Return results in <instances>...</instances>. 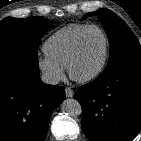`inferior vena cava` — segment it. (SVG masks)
Returning <instances> with one entry per match:
<instances>
[{"mask_svg": "<svg viewBox=\"0 0 141 141\" xmlns=\"http://www.w3.org/2000/svg\"><path fill=\"white\" fill-rule=\"evenodd\" d=\"M41 81L45 84L57 85L59 83V78L52 73L45 72L41 76Z\"/></svg>", "mask_w": 141, "mask_h": 141, "instance_id": "1", "label": "inferior vena cava"}]
</instances>
